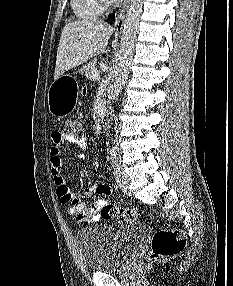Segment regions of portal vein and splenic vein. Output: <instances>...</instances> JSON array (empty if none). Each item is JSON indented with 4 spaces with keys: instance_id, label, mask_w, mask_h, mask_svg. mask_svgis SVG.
Returning <instances> with one entry per match:
<instances>
[{
    "instance_id": "obj_1",
    "label": "portal vein and splenic vein",
    "mask_w": 233,
    "mask_h": 286,
    "mask_svg": "<svg viewBox=\"0 0 233 286\" xmlns=\"http://www.w3.org/2000/svg\"><path fill=\"white\" fill-rule=\"evenodd\" d=\"M92 77H93V79H95V80L99 79V77H100L99 72H98V73H95Z\"/></svg>"
}]
</instances>
